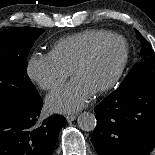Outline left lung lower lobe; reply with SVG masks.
Wrapping results in <instances>:
<instances>
[{
	"instance_id": "left-lung-lower-lobe-1",
	"label": "left lung lower lobe",
	"mask_w": 155,
	"mask_h": 155,
	"mask_svg": "<svg viewBox=\"0 0 155 155\" xmlns=\"http://www.w3.org/2000/svg\"><path fill=\"white\" fill-rule=\"evenodd\" d=\"M99 155H148L155 147V73L117 88L95 107Z\"/></svg>"
}]
</instances>
